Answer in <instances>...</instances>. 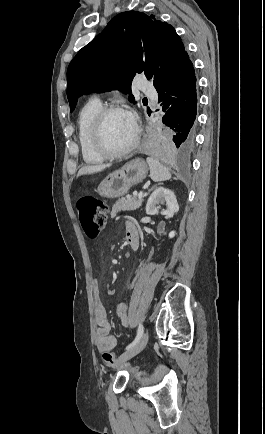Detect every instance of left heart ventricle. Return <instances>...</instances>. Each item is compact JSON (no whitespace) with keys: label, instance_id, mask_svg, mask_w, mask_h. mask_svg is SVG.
I'll return each instance as SVG.
<instances>
[{"label":"left heart ventricle","instance_id":"obj_1","mask_svg":"<svg viewBox=\"0 0 265 434\" xmlns=\"http://www.w3.org/2000/svg\"><path fill=\"white\" fill-rule=\"evenodd\" d=\"M136 130L129 124L124 113L112 115L106 126V141L114 151L129 148L135 141Z\"/></svg>","mask_w":265,"mask_h":434}]
</instances>
